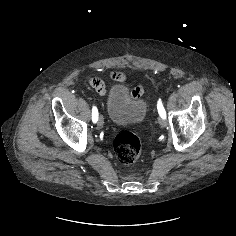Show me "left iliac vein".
<instances>
[{
  "mask_svg": "<svg viewBox=\"0 0 236 236\" xmlns=\"http://www.w3.org/2000/svg\"><path fill=\"white\" fill-rule=\"evenodd\" d=\"M159 124L161 127H165L167 125V122L164 118H159Z\"/></svg>",
  "mask_w": 236,
  "mask_h": 236,
  "instance_id": "1",
  "label": "left iliac vein"
}]
</instances>
